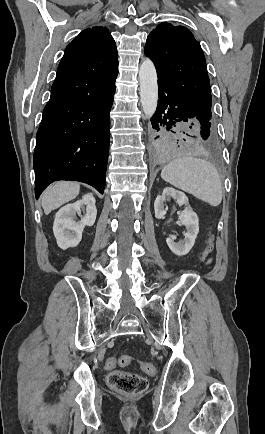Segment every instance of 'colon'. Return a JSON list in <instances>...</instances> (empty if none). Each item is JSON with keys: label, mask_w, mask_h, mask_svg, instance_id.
<instances>
[{"label": "colon", "mask_w": 265, "mask_h": 434, "mask_svg": "<svg viewBox=\"0 0 265 434\" xmlns=\"http://www.w3.org/2000/svg\"><path fill=\"white\" fill-rule=\"evenodd\" d=\"M211 239L206 241L205 248L198 254V258L201 261H206L208 255V249L210 247ZM131 357L121 355L112 357L104 362V368L112 370L107 375V383L113 390L123 393H144L148 389L147 380L135 373L125 372L121 370H114L117 365H127L131 362ZM141 370L149 375L155 376L157 374V368L149 362L142 361L140 363Z\"/></svg>", "instance_id": "1"}]
</instances>
